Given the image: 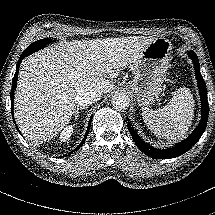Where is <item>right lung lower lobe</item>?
<instances>
[{
  "label": "right lung lower lobe",
  "mask_w": 215,
  "mask_h": 215,
  "mask_svg": "<svg viewBox=\"0 0 215 215\" xmlns=\"http://www.w3.org/2000/svg\"><path fill=\"white\" fill-rule=\"evenodd\" d=\"M26 56H28V55L25 52H23L22 55L20 56L19 61H18L17 66H16V72H15V75H14L13 80H12V89H11V93H10L12 116H13L14 90H15L16 84H17V76H18V73H19V66H20V63H21L22 59L25 58ZM91 121H92V117H91V119L89 121L88 128H87V131L85 133V136H84L82 142L80 143V145L74 151L79 149L84 144V142H85V140H86V138H87V136L89 134ZM15 126H16L17 130L19 131L16 123H15ZM19 133H20V131H19ZM74 151L70 152L68 155H63L62 157L70 156Z\"/></svg>",
  "instance_id": "right-lung-lower-lobe-1"
}]
</instances>
